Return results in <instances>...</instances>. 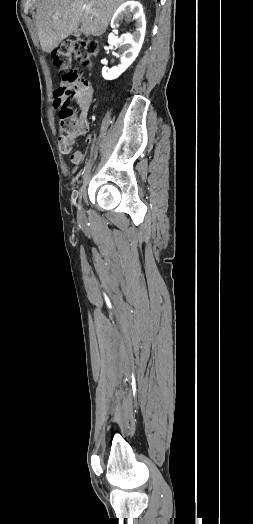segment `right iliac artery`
<instances>
[{"label":"right iliac artery","instance_id":"1","mask_svg":"<svg viewBox=\"0 0 253 524\" xmlns=\"http://www.w3.org/2000/svg\"><path fill=\"white\" fill-rule=\"evenodd\" d=\"M81 191H82V188L80 187L79 190H77L74 194V199H73V202L76 206H79L77 205V199L80 197V194H81Z\"/></svg>","mask_w":253,"mask_h":524}]
</instances>
